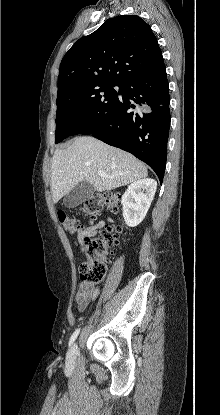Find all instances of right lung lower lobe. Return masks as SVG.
Instances as JSON below:
<instances>
[{
  "label": "right lung lower lobe",
  "mask_w": 220,
  "mask_h": 415,
  "mask_svg": "<svg viewBox=\"0 0 220 415\" xmlns=\"http://www.w3.org/2000/svg\"><path fill=\"white\" fill-rule=\"evenodd\" d=\"M120 91L122 98H117L108 119L90 134L132 153L147 163L162 182L170 126L165 65L126 80Z\"/></svg>",
  "instance_id": "obj_1"
}]
</instances>
